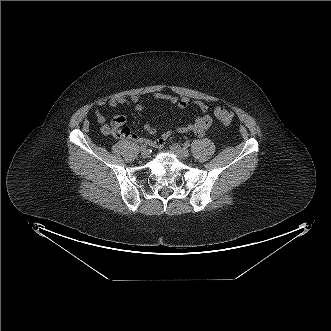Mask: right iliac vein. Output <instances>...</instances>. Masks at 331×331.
Listing matches in <instances>:
<instances>
[{
  "label": "right iliac vein",
  "mask_w": 331,
  "mask_h": 331,
  "mask_svg": "<svg viewBox=\"0 0 331 331\" xmlns=\"http://www.w3.org/2000/svg\"><path fill=\"white\" fill-rule=\"evenodd\" d=\"M149 155H150V152H149V150L148 149H142L141 150V157L142 158H147V157H149Z\"/></svg>",
  "instance_id": "1"
}]
</instances>
